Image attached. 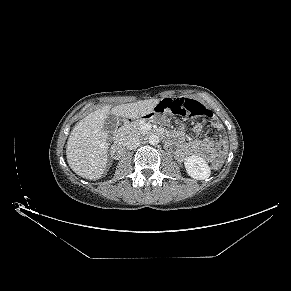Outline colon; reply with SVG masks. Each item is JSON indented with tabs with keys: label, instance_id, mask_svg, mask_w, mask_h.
<instances>
[{
	"label": "colon",
	"instance_id": "1",
	"mask_svg": "<svg viewBox=\"0 0 291 291\" xmlns=\"http://www.w3.org/2000/svg\"><path fill=\"white\" fill-rule=\"evenodd\" d=\"M156 111L162 114H171L183 117H201L210 120L211 122H215L214 114L202 103L193 99H164L156 106ZM219 151L222 154L227 151V144L225 142H220ZM222 164V159H216L214 162H212V167L214 169H218L222 166Z\"/></svg>",
	"mask_w": 291,
	"mask_h": 291
}]
</instances>
